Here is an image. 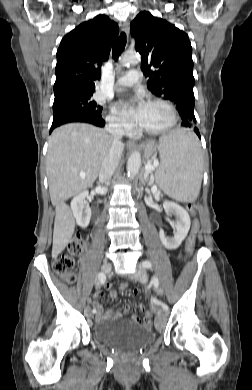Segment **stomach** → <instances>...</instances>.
Segmentation results:
<instances>
[{"label": "stomach", "mask_w": 252, "mask_h": 390, "mask_svg": "<svg viewBox=\"0 0 252 390\" xmlns=\"http://www.w3.org/2000/svg\"><path fill=\"white\" fill-rule=\"evenodd\" d=\"M155 150H156V145L153 142L148 143L144 147L145 157L149 158L150 156H152Z\"/></svg>", "instance_id": "obj_1"}]
</instances>
